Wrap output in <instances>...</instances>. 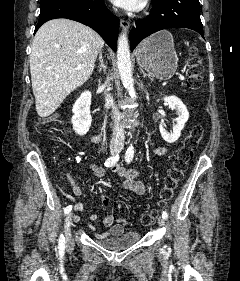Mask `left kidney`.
I'll return each mask as SVG.
<instances>
[{
    "label": "left kidney",
    "instance_id": "1",
    "mask_svg": "<svg viewBox=\"0 0 240 281\" xmlns=\"http://www.w3.org/2000/svg\"><path fill=\"white\" fill-rule=\"evenodd\" d=\"M163 100L172 110H176L178 114V117L176 118V124L173 126V132H168L165 130L162 124L159 126L162 138L168 143H173L179 139L181 131L183 130L185 123L189 118V112L183 102L176 96H165Z\"/></svg>",
    "mask_w": 240,
    "mask_h": 281
}]
</instances>
